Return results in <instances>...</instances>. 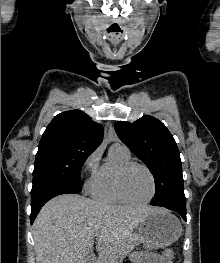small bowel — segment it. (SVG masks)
I'll use <instances>...</instances> for the list:
<instances>
[{
    "mask_svg": "<svg viewBox=\"0 0 220 263\" xmlns=\"http://www.w3.org/2000/svg\"><path fill=\"white\" fill-rule=\"evenodd\" d=\"M140 263H171L162 256L156 254H146L141 257Z\"/></svg>",
    "mask_w": 220,
    "mask_h": 263,
    "instance_id": "1",
    "label": "small bowel"
}]
</instances>
